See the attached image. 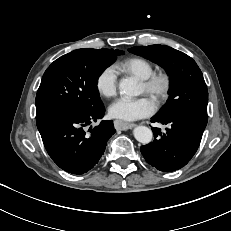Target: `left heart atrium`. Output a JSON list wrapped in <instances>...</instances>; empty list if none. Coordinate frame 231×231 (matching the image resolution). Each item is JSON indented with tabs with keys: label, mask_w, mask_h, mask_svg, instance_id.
<instances>
[{
	"label": "left heart atrium",
	"mask_w": 231,
	"mask_h": 231,
	"mask_svg": "<svg viewBox=\"0 0 231 231\" xmlns=\"http://www.w3.org/2000/svg\"><path fill=\"white\" fill-rule=\"evenodd\" d=\"M154 111L155 104L147 97L131 98L123 96L109 107V113L112 117L125 121L150 116Z\"/></svg>",
	"instance_id": "39dd6f15"
}]
</instances>
